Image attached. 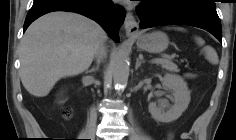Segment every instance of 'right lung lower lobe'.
Wrapping results in <instances>:
<instances>
[{"label":"right lung lower lobe","mask_w":236,"mask_h":140,"mask_svg":"<svg viewBox=\"0 0 236 140\" xmlns=\"http://www.w3.org/2000/svg\"><path fill=\"white\" fill-rule=\"evenodd\" d=\"M53 11H71L87 16L98 22L114 41H120L118 30L125 13L111 0H34L25 19L24 31L38 17Z\"/></svg>","instance_id":"98d812e1"}]
</instances>
